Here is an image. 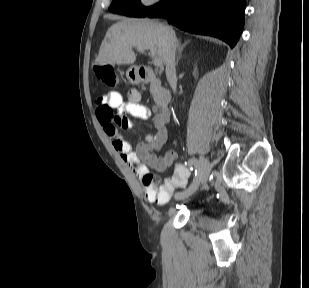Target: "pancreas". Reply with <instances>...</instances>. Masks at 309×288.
I'll list each match as a JSON object with an SVG mask.
<instances>
[{
  "mask_svg": "<svg viewBox=\"0 0 309 288\" xmlns=\"http://www.w3.org/2000/svg\"><path fill=\"white\" fill-rule=\"evenodd\" d=\"M159 89H160L159 83L153 81L150 85V93L155 97Z\"/></svg>",
  "mask_w": 309,
  "mask_h": 288,
  "instance_id": "1",
  "label": "pancreas"
}]
</instances>
